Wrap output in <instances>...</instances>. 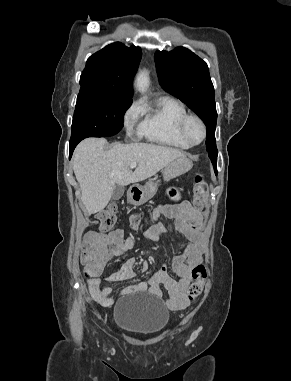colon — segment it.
Here are the masks:
<instances>
[{
    "instance_id": "1",
    "label": "colon",
    "mask_w": 291,
    "mask_h": 381,
    "mask_svg": "<svg viewBox=\"0 0 291 381\" xmlns=\"http://www.w3.org/2000/svg\"><path fill=\"white\" fill-rule=\"evenodd\" d=\"M209 187L203 181L201 175L195 177L194 200L197 205H202L208 196ZM117 207L112 205L99 212L96 216L99 230L102 233L110 230L117 220ZM132 227L137 228L139 218H132ZM104 249L100 246L94 248L83 249L81 261L84 264V274L88 278L98 277L103 270L106 257L103 255ZM193 282L187 289V298L192 301L196 299L202 292L204 282L207 278V268L204 264H197L192 269Z\"/></svg>"
}]
</instances>
